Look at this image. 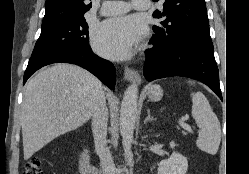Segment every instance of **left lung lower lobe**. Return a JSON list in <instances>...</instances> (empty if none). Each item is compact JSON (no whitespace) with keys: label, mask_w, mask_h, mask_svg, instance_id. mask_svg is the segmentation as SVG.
Here are the masks:
<instances>
[{"label":"left lung lower lobe","mask_w":249,"mask_h":174,"mask_svg":"<svg viewBox=\"0 0 249 174\" xmlns=\"http://www.w3.org/2000/svg\"><path fill=\"white\" fill-rule=\"evenodd\" d=\"M154 48L147 50L144 76L150 82L158 78L182 76L201 81L222 100L219 72L212 42L169 49L152 38Z\"/></svg>","instance_id":"obj_1"}]
</instances>
